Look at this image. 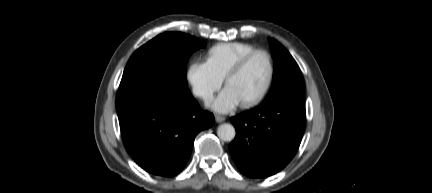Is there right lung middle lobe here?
I'll return each instance as SVG.
<instances>
[{
  "label": "right lung middle lobe",
  "instance_id": "right-lung-middle-lobe-1",
  "mask_svg": "<svg viewBox=\"0 0 432 193\" xmlns=\"http://www.w3.org/2000/svg\"><path fill=\"white\" fill-rule=\"evenodd\" d=\"M205 43L188 34L167 32L137 49L124 70L119 95L139 87L155 86L173 94L190 93L186 64L190 55Z\"/></svg>",
  "mask_w": 432,
  "mask_h": 193
}]
</instances>
